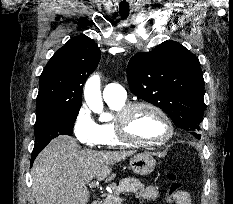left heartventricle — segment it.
I'll use <instances>...</instances> for the list:
<instances>
[{"mask_svg": "<svg viewBox=\"0 0 233 204\" xmlns=\"http://www.w3.org/2000/svg\"><path fill=\"white\" fill-rule=\"evenodd\" d=\"M130 134L142 140H160L168 132L165 122L152 110L142 108L135 111L130 125Z\"/></svg>", "mask_w": 233, "mask_h": 204, "instance_id": "1", "label": "left heart ventricle"}]
</instances>
